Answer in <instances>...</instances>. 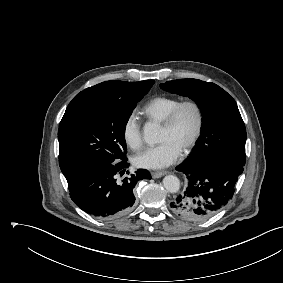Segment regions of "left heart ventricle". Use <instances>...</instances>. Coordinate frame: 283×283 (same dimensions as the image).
<instances>
[{
  "mask_svg": "<svg viewBox=\"0 0 283 283\" xmlns=\"http://www.w3.org/2000/svg\"><path fill=\"white\" fill-rule=\"evenodd\" d=\"M195 123L196 117L193 109L190 107L183 109L173 129L161 128L159 142L169 141L182 150L193 134Z\"/></svg>",
  "mask_w": 283,
  "mask_h": 283,
  "instance_id": "obj_1",
  "label": "left heart ventricle"
}]
</instances>
